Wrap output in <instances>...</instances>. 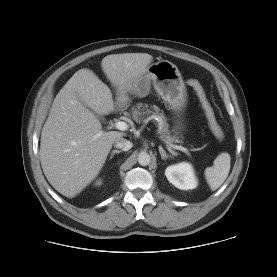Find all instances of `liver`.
I'll use <instances>...</instances> for the list:
<instances>
[{
    "instance_id": "1",
    "label": "liver",
    "mask_w": 277,
    "mask_h": 277,
    "mask_svg": "<svg viewBox=\"0 0 277 277\" xmlns=\"http://www.w3.org/2000/svg\"><path fill=\"white\" fill-rule=\"evenodd\" d=\"M153 57L147 53L107 55L101 67L125 102L128 88ZM115 109L111 90L90 69L78 70L56 95L42 128L40 161L45 177L63 196L73 198L99 174L114 141L125 134L104 132L94 113Z\"/></svg>"
}]
</instances>
